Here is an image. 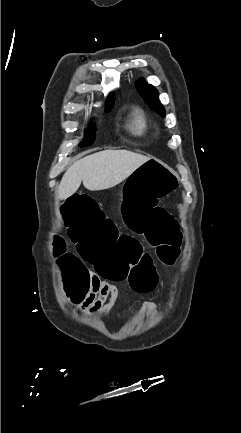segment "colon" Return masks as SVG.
Masks as SVG:
<instances>
[{
  "label": "colon",
  "instance_id": "colon-1",
  "mask_svg": "<svg viewBox=\"0 0 241 433\" xmlns=\"http://www.w3.org/2000/svg\"><path fill=\"white\" fill-rule=\"evenodd\" d=\"M123 189L120 213L125 226H132L135 233L148 235L158 260L173 265L180 252L179 219L166 207H158L165 195L180 186L176 172L160 157H146L144 164H136ZM65 217L62 228L69 229V239L75 243L77 257L67 253L60 239L56 241L55 255L59 257L58 269L65 272V289L74 302L83 305L86 293L91 290V270L100 272L114 282L129 280L133 290L151 291L157 282L152 256L143 250L136 234L119 230L115 220H106L102 206L97 205L89 192H69L62 202Z\"/></svg>",
  "mask_w": 241,
  "mask_h": 433
}]
</instances>
